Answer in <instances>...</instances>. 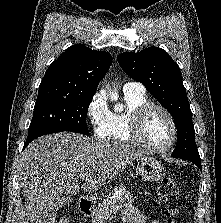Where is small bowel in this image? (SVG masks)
Returning <instances> with one entry per match:
<instances>
[{
    "label": "small bowel",
    "instance_id": "small-bowel-1",
    "mask_svg": "<svg viewBox=\"0 0 221 223\" xmlns=\"http://www.w3.org/2000/svg\"><path fill=\"white\" fill-rule=\"evenodd\" d=\"M124 223H162L158 218L148 217L135 208H129L122 213Z\"/></svg>",
    "mask_w": 221,
    "mask_h": 223
}]
</instances>
